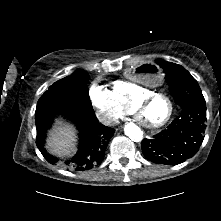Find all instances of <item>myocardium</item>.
Listing matches in <instances>:
<instances>
[{"label":"myocardium","instance_id":"obj_1","mask_svg":"<svg viewBox=\"0 0 221 221\" xmlns=\"http://www.w3.org/2000/svg\"><path fill=\"white\" fill-rule=\"evenodd\" d=\"M164 98L168 101L169 103V113L168 115L163 119L161 120L160 122H157V123H150V122H147L145 119H144V108L155 98ZM133 110H135L136 112V116L138 118V120L140 121V123L147 127V128H150V129H156V128H160L164 125H166L170 120L171 118L173 117L174 115V111H175V105H174V102L173 100L171 99L170 96H168L167 94L165 93H162V92H152L146 96H144L143 98H141L133 107Z\"/></svg>","mask_w":221,"mask_h":221}]
</instances>
